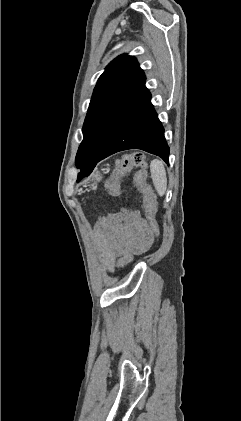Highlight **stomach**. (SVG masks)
Masks as SVG:
<instances>
[{
	"instance_id": "0dacf381",
	"label": "stomach",
	"mask_w": 241,
	"mask_h": 421,
	"mask_svg": "<svg viewBox=\"0 0 241 421\" xmlns=\"http://www.w3.org/2000/svg\"><path fill=\"white\" fill-rule=\"evenodd\" d=\"M101 178H102V176H101L100 174H96V175H95V179H96L97 181L101 180Z\"/></svg>"
}]
</instances>
